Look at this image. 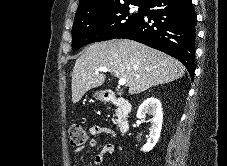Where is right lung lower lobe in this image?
Here are the masks:
<instances>
[{"label":"right lung lower lobe","mask_w":227,"mask_h":166,"mask_svg":"<svg viewBox=\"0 0 227 166\" xmlns=\"http://www.w3.org/2000/svg\"><path fill=\"white\" fill-rule=\"evenodd\" d=\"M142 18L117 38L143 43L178 59L195 71L196 15L191 0H150Z\"/></svg>","instance_id":"right-lung-lower-lobe-1"}]
</instances>
